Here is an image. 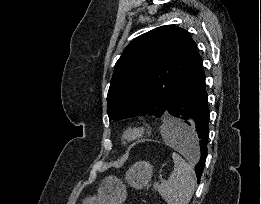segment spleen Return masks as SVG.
Wrapping results in <instances>:
<instances>
[{
	"label": "spleen",
	"instance_id": "spleen-1",
	"mask_svg": "<svg viewBox=\"0 0 261 204\" xmlns=\"http://www.w3.org/2000/svg\"><path fill=\"white\" fill-rule=\"evenodd\" d=\"M186 126L176 119H169L162 130L166 144L176 149H185L178 142L176 130ZM194 135V134H193ZM195 156L199 155L197 142L194 144ZM174 170L169 179L158 186V192L167 204H189L195 189V178L191 166L177 153L172 154Z\"/></svg>",
	"mask_w": 261,
	"mask_h": 204
}]
</instances>
